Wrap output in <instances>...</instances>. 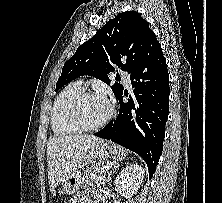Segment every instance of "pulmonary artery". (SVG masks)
I'll use <instances>...</instances> for the list:
<instances>
[{
	"instance_id": "pulmonary-artery-1",
	"label": "pulmonary artery",
	"mask_w": 222,
	"mask_h": 203,
	"mask_svg": "<svg viewBox=\"0 0 222 203\" xmlns=\"http://www.w3.org/2000/svg\"><path fill=\"white\" fill-rule=\"evenodd\" d=\"M120 75H121L123 81L125 82V84H126L127 86H131L130 74L127 73V72H125V71H122V72L120 73ZM78 83H79V84H82L81 81L78 82Z\"/></svg>"
}]
</instances>
